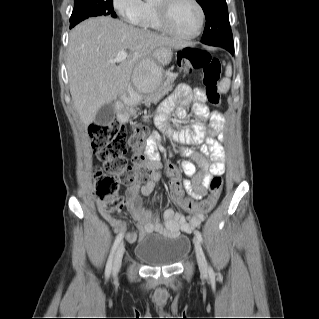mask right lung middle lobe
Listing matches in <instances>:
<instances>
[{"mask_svg":"<svg viewBox=\"0 0 319 319\" xmlns=\"http://www.w3.org/2000/svg\"><path fill=\"white\" fill-rule=\"evenodd\" d=\"M100 15L116 17L113 0H75L70 17V28L89 17Z\"/></svg>","mask_w":319,"mask_h":319,"instance_id":"right-lung-middle-lobe-1","label":"right lung middle lobe"}]
</instances>
